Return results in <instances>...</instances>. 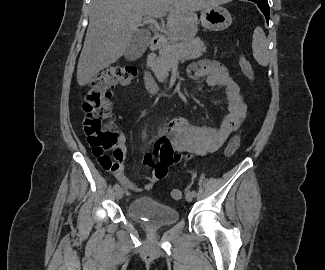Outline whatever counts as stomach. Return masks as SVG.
Masks as SVG:
<instances>
[{
  "mask_svg": "<svg viewBox=\"0 0 325 270\" xmlns=\"http://www.w3.org/2000/svg\"><path fill=\"white\" fill-rule=\"evenodd\" d=\"M200 21L205 28L211 31H221L231 25L232 17L223 7H206L201 12Z\"/></svg>",
  "mask_w": 325,
  "mask_h": 270,
  "instance_id": "1",
  "label": "stomach"
}]
</instances>
